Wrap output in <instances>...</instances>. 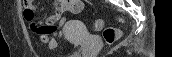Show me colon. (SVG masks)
Returning a JSON list of instances; mask_svg holds the SVG:
<instances>
[{"label": "colon", "mask_w": 172, "mask_h": 57, "mask_svg": "<svg viewBox=\"0 0 172 57\" xmlns=\"http://www.w3.org/2000/svg\"><path fill=\"white\" fill-rule=\"evenodd\" d=\"M24 14L29 17H33L35 15V10L31 7H26L24 10ZM93 27L95 30H102L104 40L107 44H113L119 37L118 31L113 27H105L103 26V22L101 20H96L93 23Z\"/></svg>", "instance_id": "5ec220e1"}]
</instances>
